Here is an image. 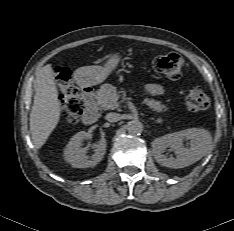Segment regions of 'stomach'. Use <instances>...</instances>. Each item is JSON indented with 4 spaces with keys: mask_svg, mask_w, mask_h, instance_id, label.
<instances>
[{
    "mask_svg": "<svg viewBox=\"0 0 234 231\" xmlns=\"http://www.w3.org/2000/svg\"><path fill=\"white\" fill-rule=\"evenodd\" d=\"M120 55L112 54L103 66H84L75 72V79L79 85H97L102 83L118 66Z\"/></svg>",
    "mask_w": 234,
    "mask_h": 231,
    "instance_id": "obj_1",
    "label": "stomach"
}]
</instances>
